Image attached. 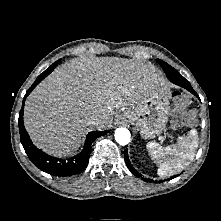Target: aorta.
I'll return each instance as SVG.
<instances>
[{
	"mask_svg": "<svg viewBox=\"0 0 221 221\" xmlns=\"http://www.w3.org/2000/svg\"><path fill=\"white\" fill-rule=\"evenodd\" d=\"M115 140L120 145H127L130 142V132L127 128L121 127L115 130Z\"/></svg>",
	"mask_w": 221,
	"mask_h": 221,
	"instance_id": "1",
	"label": "aorta"
}]
</instances>
